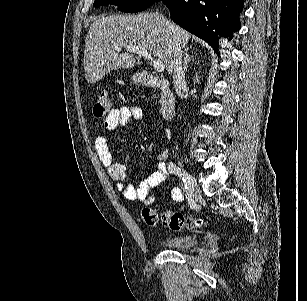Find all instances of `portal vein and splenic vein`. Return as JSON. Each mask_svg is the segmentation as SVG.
<instances>
[{
	"mask_svg": "<svg viewBox=\"0 0 307 301\" xmlns=\"http://www.w3.org/2000/svg\"><path fill=\"white\" fill-rule=\"evenodd\" d=\"M115 48L116 50H122V46H115ZM124 50H127V52H136V54H140V56H145V58H148L151 64H153L155 70H158V72H163L165 66L162 60H159V58H154L153 54H151L147 48H141V46H124Z\"/></svg>",
	"mask_w": 307,
	"mask_h": 301,
	"instance_id": "portal-vein-and-splenic-vein-1",
	"label": "portal vein and splenic vein"
}]
</instances>
